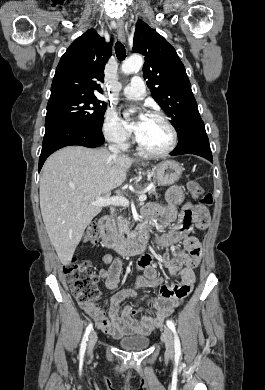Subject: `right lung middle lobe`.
<instances>
[{"instance_id":"right-lung-middle-lobe-1","label":"right lung middle lobe","mask_w":265,"mask_h":390,"mask_svg":"<svg viewBox=\"0 0 265 390\" xmlns=\"http://www.w3.org/2000/svg\"><path fill=\"white\" fill-rule=\"evenodd\" d=\"M107 105L92 95H68L51 99L45 120L66 119L101 130Z\"/></svg>"}]
</instances>
